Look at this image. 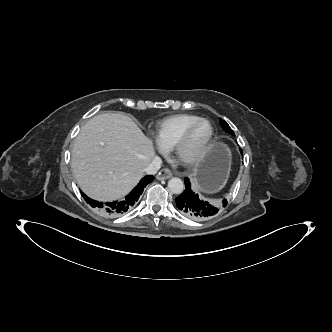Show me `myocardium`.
I'll return each instance as SVG.
<instances>
[{
    "label": "myocardium",
    "instance_id": "obj_1",
    "mask_svg": "<svg viewBox=\"0 0 332 332\" xmlns=\"http://www.w3.org/2000/svg\"><path fill=\"white\" fill-rule=\"evenodd\" d=\"M200 123H207L209 125V134L204 143L197 149L196 152H194L190 156H185L183 154V149L193 132V130L198 126ZM215 137V129L213 124L210 120L206 118H199L196 121H194L192 124H190L182 133V135L177 140L176 144L173 147V155L174 157L184 166L186 167H194L198 163L201 162V160L205 157L207 152L212 146V143L214 141Z\"/></svg>",
    "mask_w": 332,
    "mask_h": 332
}]
</instances>
